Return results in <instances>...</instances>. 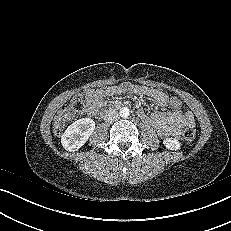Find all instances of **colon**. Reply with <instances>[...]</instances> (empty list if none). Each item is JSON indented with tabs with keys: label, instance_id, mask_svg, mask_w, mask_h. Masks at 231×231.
Masks as SVG:
<instances>
[{
	"label": "colon",
	"instance_id": "colon-1",
	"mask_svg": "<svg viewBox=\"0 0 231 231\" xmlns=\"http://www.w3.org/2000/svg\"><path fill=\"white\" fill-rule=\"evenodd\" d=\"M171 107L180 109L182 107V100L177 96L169 98ZM86 103L81 95H76L72 98L69 105L63 107L54 118L53 129L55 134H61L70 120L72 114H81L85 111ZM195 130L193 127H186L182 136L185 141H192L195 138Z\"/></svg>",
	"mask_w": 231,
	"mask_h": 231
}]
</instances>
